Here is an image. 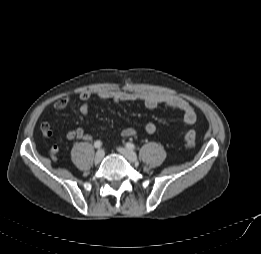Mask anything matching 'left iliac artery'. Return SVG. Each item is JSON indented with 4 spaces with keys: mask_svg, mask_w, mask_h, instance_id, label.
<instances>
[{
    "mask_svg": "<svg viewBox=\"0 0 261 254\" xmlns=\"http://www.w3.org/2000/svg\"><path fill=\"white\" fill-rule=\"evenodd\" d=\"M126 148H128L129 150H134L135 149V145L133 144V143H130V142H128V143H126Z\"/></svg>",
    "mask_w": 261,
    "mask_h": 254,
    "instance_id": "obj_1",
    "label": "left iliac artery"
}]
</instances>
